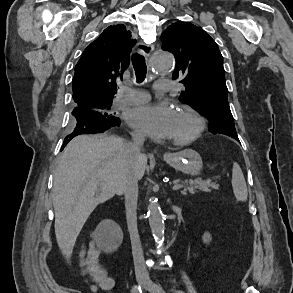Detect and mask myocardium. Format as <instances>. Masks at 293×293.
I'll return each mask as SVG.
<instances>
[{
    "instance_id": "obj_1",
    "label": "myocardium",
    "mask_w": 293,
    "mask_h": 293,
    "mask_svg": "<svg viewBox=\"0 0 293 293\" xmlns=\"http://www.w3.org/2000/svg\"><path fill=\"white\" fill-rule=\"evenodd\" d=\"M177 113L188 116L194 121V129L191 134L183 138L173 139L171 142L174 145H187L197 140L205 129V122L202 116L195 110L189 107H181Z\"/></svg>"
}]
</instances>
